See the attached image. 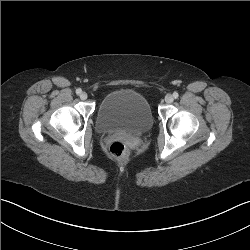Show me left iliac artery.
Here are the masks:
<instances>
[{
    "label": "left iliac artery",
    "mask_w": 250,
    "mask_h": 250,
    "mask_svg": "<svg viewBox=\"0 0 250 250\" xmlns=\"http://www.w3.org/2000/svg\"><path fill=\"white\" fill-rule=\"evenodd\" d=\"M178 96H179V94L177 93V92H174L173 93V97L176 99V98H178Z\"/></svg>",
    "instance_id": "44dca946"
}]
</instances>
